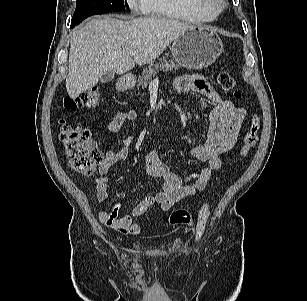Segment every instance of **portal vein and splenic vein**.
<instances>
[{"mask_svg":"<svg viewBox=\"0 0 307 301\" xmlns=\"http://www.w3.org/2000/svg\"><path fill=\"white\" fill-rule=\"evenodd\" d=\"M136 53H137V51H131V52H130V55L133 56V55H136Z\"/></svg>","mask_w":307,"mask_h":301,"instance_id":"obj_1","label":"portal vein and splenic vein"}]
</instances>
